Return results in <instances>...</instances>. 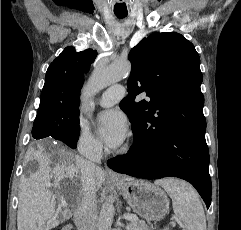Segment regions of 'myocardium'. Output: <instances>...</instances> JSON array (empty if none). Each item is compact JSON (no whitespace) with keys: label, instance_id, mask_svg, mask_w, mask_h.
<instances>
[{"label":"myocardium","instance_id":"myocardium-1","mask_svg":"<svg viewBox=\"0 0 241 230\" xmlns=\"http://www.w3.org/2000/svg\"><path fill=\"white\" fill-rule=\"evenodd\" d=\"M131 148H132V143L127 142L118 150V153L119 154H127L130 152Z\"/></svg>","mask_w":241,"mask_h":230}]
</instances>
